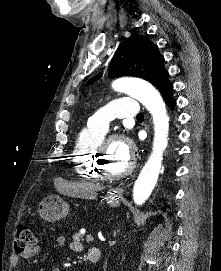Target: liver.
Segmentation results:
<instances>
[{
	"instance_id": "obj_1",
	"label": "liver",
	"mask_w": 221,
	"mask_h": 271,
	"mask_svg": "<svg viewBox=\"0 0 221 271\" xmlns=\"http://www.w3.org/2000/svg\"><path fill=\"white\" fill-rule=\"evenodd\" d=\"M97 189H103L99 183H90V181H84V183H68V195L72 197H89L93 191Z\"/></svg>"
}]
</instances>
